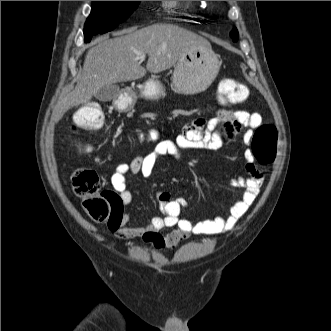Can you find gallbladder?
Returning a JSON list of instances; mask_svg holds the SVG:
<instances>
[{"mask_svg": "<svg viewBox=\"0 0 331 331\" xmlns=\"http://www.w3.org/2000/svg\"><path fill=\"white\" fill-rule=\"evenodd\" d=\"M120 94L119 86L116 84L105 85L95 93L96 99L108 102L116 99Z\"/></svg>", "mask_w": 331, "mask_h": 331, "instance_id": "obj_1", "label": "gallbladder"}]
</instances>
